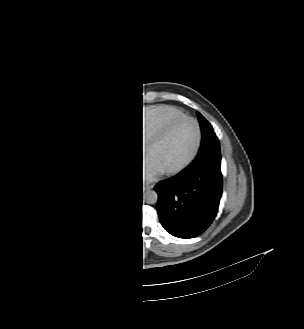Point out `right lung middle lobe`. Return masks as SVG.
Here are the masks:
<instances>
[{
    "label": "right lung middle lobe",
    "instance_id": "obj_1",
    "mask_svg": "<svg viewBox=\"0 0 304 329\" xmlns=\"http://www.w3.org/2000/svg\"><path fill=\"white\" fill-rule=\"evenodd\" d=\"M130 108L97 103L79 112L68 123L58 148V169L62 179L81 172H101L117 168L110 136L117 118Z\"/></svg>",
    "mask_w": 304,
    "mask_h": 329
}]
</instances>
